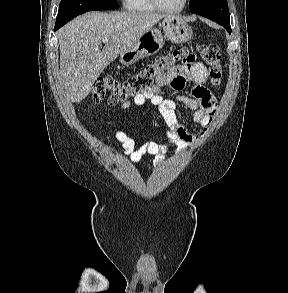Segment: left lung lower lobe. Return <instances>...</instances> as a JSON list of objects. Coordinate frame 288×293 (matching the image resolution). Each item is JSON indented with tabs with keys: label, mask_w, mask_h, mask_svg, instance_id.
<instances>
[{
	"label": "left lung lower lobe",
	"mask_w": 288,
	"mask_h": 293,
	"mask_svg": "<svg viewBox=\"0 0 288 293\" xmlns=\"http://www.w3.org/2000/svg\"><path fill=\"white\" fill-rule=\"evenodd\" d=\"M223 27L228 31L229 34L231 33L230 25H224Z\"/></svg>",
	"instance_id": "obj_1"
}]
</instances>
